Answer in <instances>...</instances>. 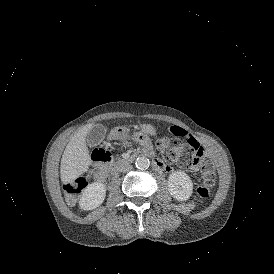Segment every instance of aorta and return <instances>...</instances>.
<instances>
[{"label": "aorta", "instance_id": "obj_1", "mask_svg": "<svg viewBox=\"0 0 274 274\" xmlns=\"http://www.w3.org/2000/svg\"><path fill=\"white\" fill-rule=\"evenodd\" d=\"M149 165H150V161L145 156L137 157V159L135 160V166L138 169H141V170L147 169Z\"/></svg>", "mask_w": 274, "mask_h": 274}]
</instances>
